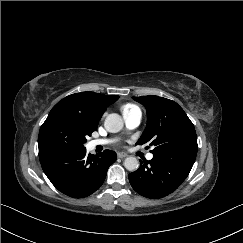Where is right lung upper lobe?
Wrapping results in <instances>:
<instances>
[{"instance_id": "obj_1", "label": "right lung upper lobe", "mask_w": 243, "mask_h": 243, "mask_svg": "<svg viewBox=\"0 0 243 243\" xmlns=\"http://www.w3.org/2000/svg\"><path fill=\"white\" fill-rule=\"evenodd\" d=\"M119 96H107L94 92H81L69 95L55 106L62 107L81 117L90 125L97 127L106 106L115 102Z\"/></svg>"}]
</instances>
